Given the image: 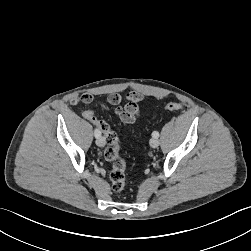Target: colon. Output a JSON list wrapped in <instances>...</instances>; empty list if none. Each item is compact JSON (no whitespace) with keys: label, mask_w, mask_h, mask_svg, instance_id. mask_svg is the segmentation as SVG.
<instances>
[{"label":"colon","mask_w":251,"mask_h":251,"mask_svg":"<svg viewBox=\"0 0 251 251\" xmlns=\"http://www.w3.org/2000/svg\"><path fill=\"white\" fill-rule=\"evenodd\" d=\"M182 108V104L179 102H169L165 105V109L169 111H177ZM94 108L90 107L84 110L83 117L96 125L103 133L106 141V148L104 150V157L107 161L112 163V169L110 171V181L114 191L121 192L125 188V172L126 162L120 156L118 138L114 131H112L107 123L100 121L95 116Z\"/></svg>","instance_id":"5ec220e1"}]
</instances>
